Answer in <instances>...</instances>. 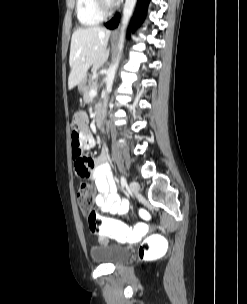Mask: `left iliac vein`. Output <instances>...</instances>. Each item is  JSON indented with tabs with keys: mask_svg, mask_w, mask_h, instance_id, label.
Returning a JSON list of instances; mask_svg holds the SVG:
<instances>
[{
	"mask_svg": "<svg viewBox=\"0 0 247 304\" xmlns=\"http://www.w3.org/2000/svg\"><path fill=\"white\" fill-rule=\"evenodd\" d=\"M129 189L132 194H137L140 191V185L136 181H131L129 184Z\"/></svg>",
	"mask_w": 247,
	"mask_h": 304,
	"instance_id": "left-iliac-vein-1",
	"label": "left iliac vein"
}]
</instances>
